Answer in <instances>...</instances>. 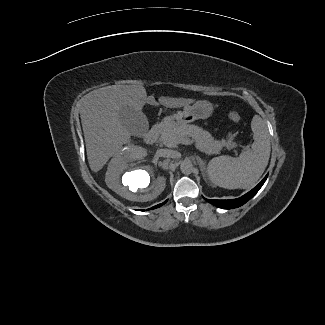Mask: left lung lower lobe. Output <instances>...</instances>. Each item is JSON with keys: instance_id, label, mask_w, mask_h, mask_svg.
I'll list each match as a JSON object with an SVG mask.
<instances>
[{"instance_id": "0a47b994", "label": "left lung lower lobe", "mask_w": 325, "mask_h": 325, "mask_svg": "<svg viewBox=\"0 0 325 325\" xmlns=\"http://www.w3.org/2000/svg\"><path fill=\"white\" fill-rule=\"evenodd\" d=\"M268 177V174L263 178V180L251 191L246 193L245 195L241 196L237 199H230V200H216V199H207V201L219 208L222 209H233L242 206L245 204L248 200H250L262 187L264 182L266 181Z\"/></svg>"}]
</instances>
